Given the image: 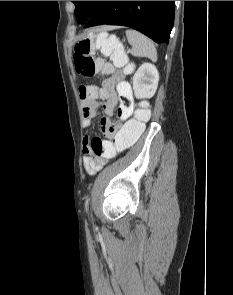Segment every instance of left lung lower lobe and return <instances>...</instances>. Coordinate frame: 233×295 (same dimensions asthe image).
<instances>
[{
    "instance_id": "obj_1",
    "label": "left lung lower lobe",
    "mask_w": 233,
    "mask_h": 295,
    "mask_svg": "<svg viewBox=\"0 0 233 295\" xmlns=\"http://www.w3.org/2000/svg\"><path fill=\"white\" fill-rule=\"evenodd\" d=\"M175 1H100L85 28L109 24L134 28L157 43H169Z\"/></svg>"
}]
</instances>
